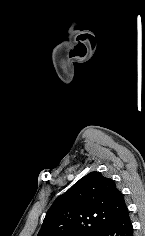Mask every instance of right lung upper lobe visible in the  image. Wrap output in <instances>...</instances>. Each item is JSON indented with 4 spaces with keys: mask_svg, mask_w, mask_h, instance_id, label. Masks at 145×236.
<instances>
[{
    "mask_svg": "<svg viewBox=\"0 0 145 236\" xmlns=\"http://www.w3.org/2000/svg\"><path fill=\"white\" fill-rule=\"evenodd\" d=\"M126 209L114 181L91 172L52 204L37 236H95Z\"/></svg>",
    "mask_w": 145,
    "mask_h": 236,
    "instance_id": "1",
    "label": "right lung upper lobe"
}]
</instances>
